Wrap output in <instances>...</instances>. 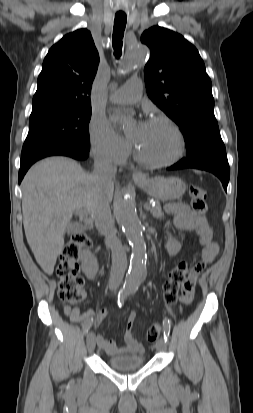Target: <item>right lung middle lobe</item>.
<instances>
[{
    "label": "right lung middle lobe",
    "mask_w": 253,
    "mask_h": 413,
    "mask_svg": "<svg viewBox=\"0 0 253 413\" xmlns=\"http://www.w3.org/2000/svg\"><path fill=\"white\" fill-rule=\"evenodd\" d=\"M91 106L55 107L32 112L21 156L60 147L89 150Z\"/></svg>",
    "instance_id": "obj_1"
}]
</instances>
